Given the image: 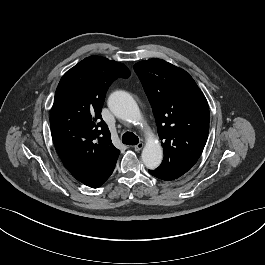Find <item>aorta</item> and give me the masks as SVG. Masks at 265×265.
Masks as SVG:
<instances>
[{
    "instance_id": "762f6f07",
    "label": "aorta",
    "mask_w": 265,
    "mask_h": 265,
    "mask_svg": "<svg viewBox=\"0 0 265 265\" xmlns=\"http://www.w3.org/2000/svg\"><path fill=\"white\" fill-rule=\"evenodd\" d=\"M112 113L126 121L137 122L141 119L140 109L134 98L125 91H115L108 98ZM142 161L148 169L157 168L163 159V150L158 141L148 140L142 151Z\"/></svg>"
}]
</instances>
